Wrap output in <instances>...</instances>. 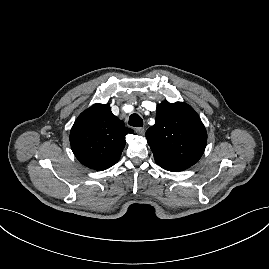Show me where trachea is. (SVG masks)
Listing matches in <instances>:
<instances>
[{"mask_svg": "<svg viewBox=\"0 0 269 269\" xmlns=\"http://www.w3.org/2000/svg\"><path fill=\"white\" fill-rule=\"evenodd\" d=\"M129 125L133 127H142L143 120L138 114H131L129 118Z\"/></svg>", "mask_w": 269, "mask_h": 269, "instance_id": "3493384b", "label": "trachea"}]
</instances>
